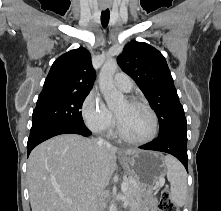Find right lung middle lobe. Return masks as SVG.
I'll use <instances>...</instances> for the list:
<instances>
[{"instance_id": "right-lung-middle-lobe-1", "label": "right lung middle lobe", "mask_w": 221, "mask_h": 211, "mask_svg": "<svg viewBox=\"0 0 221 211\" xmlns=\"http://www.w3.org/2000/svg\"><path fill=\"white\" fill-rule=\"evenodd\" d=\"M89 92H44L40 93L33 111L30 131L50 124H73L85 126L81 107Z\"/></svg>"}]
</instances>
